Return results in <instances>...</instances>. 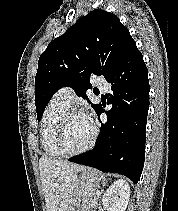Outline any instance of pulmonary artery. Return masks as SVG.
<instances>
[{
  "mask_svg": "<svg viewBox=\"0 0 178 211\" xmlns=\"http://www.w3.org/2000/svg\"><path fill=\"white\" fill-rule=\"evenodd\" d=\"M92 82L94 83V85H96L101 91L106 92L108 89L107 83L104 79L102 78H93ZM56 95L66 104L70 105L75 92L73 90V88L71 87H63L61 88Z\"/></svg>",
  "mask_w": 178,
  "mask_h": 211,
  "instance_id": "1",
  "label": "pulmonary artery"
}]
</instances>
